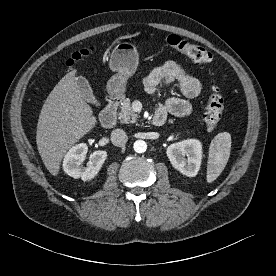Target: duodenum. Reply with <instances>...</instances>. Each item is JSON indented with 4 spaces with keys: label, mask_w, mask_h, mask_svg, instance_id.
Wrapping results in <instances>:
<instances>
[{
    "label": "duodenum",
    "mask_w": 276,
    "mask_h": 276,
    "mask_svg": "<svg viewBox=\"0 0 276 276\" xmlns=\"http://www.w3.org/2000/svg\"><path fill=\"white\" fill-rule=\"evenodd\" d=\"M120 97L112 95L107 99L106 106L101 113L100 122L106 128L113 127L117 122V108L120 103ZM166 122V115L163 112H156L152 123L156 127H161Z\"/></svg>",
    "instance_id": "1"
}]
</instances>
